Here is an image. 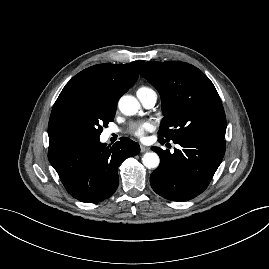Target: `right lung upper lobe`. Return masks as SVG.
Returning a JSON list of instances; mask_svg holds the SVG:
<instances>
[{
  "mask_svg": "<svg viewBox=\"0 0 269 269\" xmlns=\"http://www.w3.org/2000/svg\"><path fill=\"white\" fill-rule=\"evenodd\" d=\"M143 63L100 64L75 75L53 106L48 124L49 149L79 142L69 119L74 104L103 105L116 109L119 97L137 81Z\"/></svg>",
  "mask_w": 269,
  "mask_h": 269,
  "instance_id": "cb5924a9",
  "label": "right lung upper lobe"
}]
</instances>
